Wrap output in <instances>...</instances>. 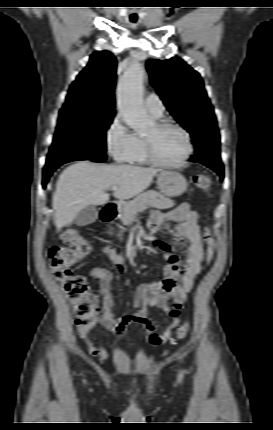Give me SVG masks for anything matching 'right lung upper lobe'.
I'll return each mask as SVG.
<instances>
[{
    "mask_svg": "<svg viewBox=\"0 0 273 430\" xmlns=\"http://www.w3.org/2000/svg\"><path fill=\"white\" fill-rule=\"evenodd\" d=\"M116 59L109 51H96L87 66L71 84L61 110L78 109L84 112L114 113Z\"/></svg>",
    "mask_w": 273,
    "mask_h": 430,
    "instance_id": "right-lung-upper-lobe-1",
    "label": "right lung upper lobe"
}]
</instances>
